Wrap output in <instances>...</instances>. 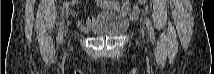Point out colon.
<instances>
[{"label":"colon","mask_w":214,"mask_h":74,"mask_svg":"<svg viewBox=\"0 0 214 74\" xmlns=\"http://www.w3.org/2000/svg\"><path fill=\"white\" fill-rule=\"evenodd\" d=\"M126 2H127V1H126ZM137 2L142 4V3L147 2V0H138Z\"/></svg>","instance_id":"obj_1"}]
</instances>
